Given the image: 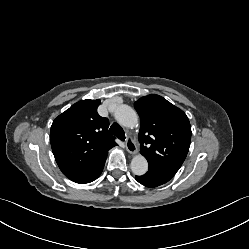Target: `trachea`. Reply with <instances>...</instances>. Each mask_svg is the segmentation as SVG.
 <instances>
[{
	"instance_id": "3493384b",
	"label": "trachea",
	"mask_w": 249,
	"mask_h": 249,
	"mask_svg": "<svg viewBox=\"0 0 249 249\" xmlns=\"http://www.w3.org/2000/svg\"><path fill=\"white\" fill-rule=\"evenodd\" d=\"M109 133L118 137L120 140H125V132L121 128V126L117 123H113L109 129Z\"/></svg>"
}]
</instances>
